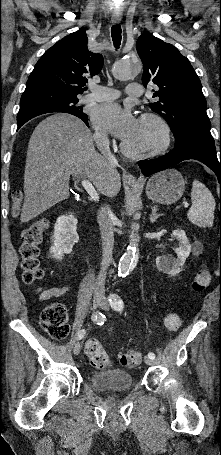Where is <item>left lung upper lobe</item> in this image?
<instances>
[{"mask_svg":"<svg viewBox=\"0 0 221 455\" xmlns=\"http://www.w3.org/2000/svg\"><path fill=\"white\" fill-rule=\"evenodd\" d=\"M136 49L143 62L142 83L156 85L150 103L169 124L175 142L189 133H210L202 86L189 60L176 47L151 34H142Z\"/></svg>","mask_w":221,"mask_h":455,"instance_id":"1","label":"left lung upper lobe"}]
</instances>
